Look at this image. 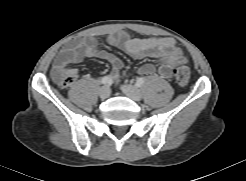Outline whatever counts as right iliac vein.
<instances>
[{"instance_id": "63e3f726", "label": "right iliac vein", "mask_w": 246, "mask_h": 181, "mask_svg": "<svg viewBox=\"0 0 246 181\" xmlns=\"http://www.w3.org/2000/svg\"><path fill=\"white\" fill-rule=\"evenodd\" d=\"M98 94H99L100 98L106 99L110 95V88L108 86H103L99 89Z\"/></svg>"}]
</instances>
